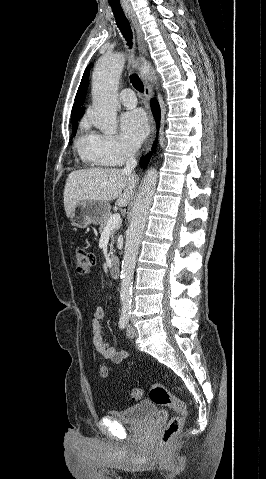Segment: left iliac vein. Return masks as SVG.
<instances>
[{
    "instance_id": "1",
    "label": "left iliac vein",
    "mask_w": 266,
    "mask_h": 479,
    "mask_svg": "<svg viewBox=\"0 0 266 479\" xmlns=\"http://www.w3.org/2000/svg\"><path fill=\"white\" fill-rule=\"evenodd\" d=\"M136 334H137L136 329L134 328L133 325L130 324V325L128 326V328H127V331H126L127 337L130 338V339H132V338H134V337L136 336Z\"/></svg>"
}]
</instances>
